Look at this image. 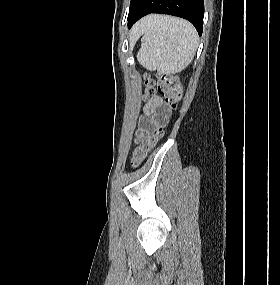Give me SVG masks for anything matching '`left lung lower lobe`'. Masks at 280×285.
<instances>
[{
  "label": "left lung lower lobe",
  "mask_w": 280,
  "mask_h": 285,
  "mask_svg": "<svg viewBox=\"0 0 280 285\" xmlns=\"http://www.w3.org/2000/svg\"><path fill=\"white\" fill-rule=\"evenodd\" d=\"M150 13H163L190 21L199 35L203 30L204 0H136L128 15V28Z\"/></svg>",
  "instance_id": "left-lung-lower-lobe-1"
}]
</instances>
